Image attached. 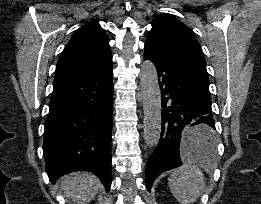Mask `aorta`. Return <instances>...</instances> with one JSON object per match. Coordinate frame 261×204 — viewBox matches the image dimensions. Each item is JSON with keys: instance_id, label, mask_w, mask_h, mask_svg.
<instances>
[{"instance_id": "762f6f07", "label": "aorta", "mask_w": 261, "mask_h": 204, "mask_svg": "<svg viewBox=\"0 0 261 204\" xmlns=\"http://www.w3.org/2000/svg\"><path fill=\"white\" fill-rule=\"evenodd\" d=\"M140 85L144 108V139L153 148L161 133V94L155 65L146 60L141 64Z\"/></svg>"}]
</instances>
